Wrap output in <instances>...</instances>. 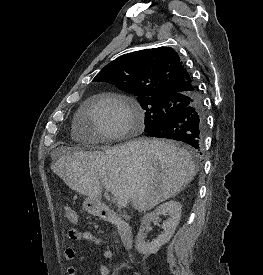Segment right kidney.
<instances>
[{"label":"right kidney","instance_id":"obj_1","mask_svg":"<svg viewBox=\"0 0 263 275\" xmlns=\"http://www.w3.org/2000/svg\"><path fill=\"white\" fill-rule=\"evenodd\" d=\"M182 206L179 202L171 200L158 206L153 212L143 217L139 232L135 240V248L143 255L156 253L160 247L166 244L173 236L180 221ZM161 214H168L169 218L163 222V232L153 241L146 242L145 231L150 227L153 220H158Z\"/></svg>","mask_w":263,"mask_h":275}]
</instances>
